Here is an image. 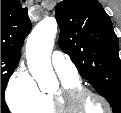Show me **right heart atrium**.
Returning <instances> with one entry per match:
<instances>
[{"mask_svg":"<svg viewBox=\"0 0 121 113\" xmlns=\"http://www.w3.org/2000/svg\"><path fill=\"white\" fill-rule=\"evenodd\" d=\"M40 98L41 92L34 78L24 68L18 67L6 89L10 109L17 113H32Z\"/></svg>","mask_w":121,"mask_h":113,"instance_id":"obj_1","label":"right heart atrium"}]
</instances>
